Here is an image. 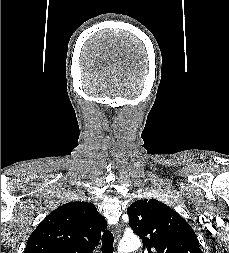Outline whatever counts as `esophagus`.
Returning <instances> with one entry per match:
<instances>
[{
	"mask_svg": "<svg viewBox=\"0 0 229 253\" xmlns=\"http://www.w3.org/2000/svg\"><path fill=\"white\" fill-rule=\"evenodd\" d=\"M122 231H123V226L121 224H117L114 226V235H115V239L117 241L120 240L121 235H122Z\"/></svg>",
	"mask_w": 229,
	"mask_h": 253,
	"instance_id": "esophagus-1",
	"label": "esophagus"
}]
</instances>
